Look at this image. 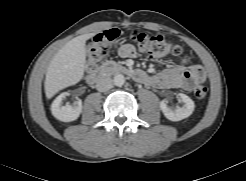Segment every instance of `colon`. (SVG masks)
<instances>
[{
    "label": "colon",
    "mask_w": 246,
    "mask_h": 181,
    "mask_svg": "<svg viewBox=\"0 0 246 181\" xmlns=\"http://www.w3.org/2000/svg\"><path fill=\"white\" fill-rule=\"evenodd\" d=\"M118 36L119 31L112 28L97 34L92 39L88 49L87 68L89 70L97 67L99 62L108 54ZM130 36L136 42L138 50L151 58H160L168 54L179 55L181 53V48L178 45L168 42L162 35H150L133 30ZM194 70L200 72L201 68L195 65ZM207 93V88L204 86H199L195 90V96L200 100L204 99Z\"/></svg>",
    "instance_id": "colon-1"
}]
</instances>
